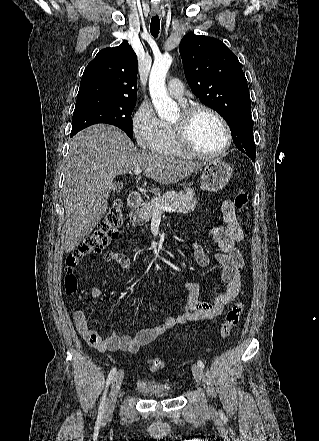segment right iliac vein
Returning a JSON list of instances; mask_svg holds the SVG:
<instances>
[{
    "mask_svg": "<svg viewBox=\"0 0 319 441\" xmlns=\"http://www.w3.org/2000/svg\"><path fill=\"white\" fill-rule=\"evenodd\" d=\"M123 377H124V372H123V370H120L117 373V375L115 376V378L113 379L111 390H110V393H109V396L107 398V402L105 405V415L106 416H110L113 413V410H114L115 404H116V399H117V396H118V393L120 391L121 384L123 381Z\"/></svg>",
    "mask_w": 319,
    "mask_h": 441,
    "instance_id": "obj_1",
    "label": "right iliac vein"
}]
</instances>
